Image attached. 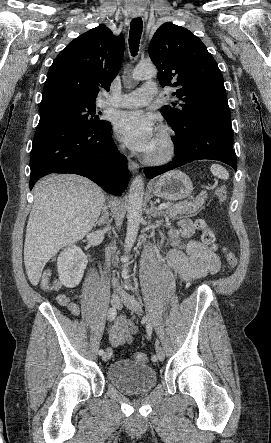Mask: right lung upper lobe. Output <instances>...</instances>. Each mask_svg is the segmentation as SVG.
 I'll list each match as a JSON object with an SVG mask.
<instances>
[{"label":"right lung upper lobe","instance_id":"cb5924a9","mask_svg":"<svg viewBox=\"0 0 271 443\" xmlns=\"http://www.w3.org/2000/svg\"><path fill=\"white\" fill-rule=\"evenodd\" d=\"M123 53V35L114 36L104 25L82 34L53 61L41 103L56 99L95 103L100 89L109 90L120 68Z\"/></svg>","mask_w":271,"mask_h":443}]
</instances>
